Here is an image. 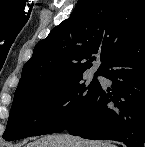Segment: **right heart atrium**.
<instances>
[{
  "label": "right heart atrium",
  "instance_id": "right-heart-atrium-1",
  "mask_svg": "<svg viewBox=\"0 0 145 147\" xmlns=\"http://www.w3.org/2000/svg\"><path fill=\"white\" fill-rule=\"evenodd\" d=\"M62 105L61 99L56 95H51L46 101V109L49 113L57 112Z\"/></svg>",
  "mask_w": 145,
  "mask_h": 147
}]
</instances>
